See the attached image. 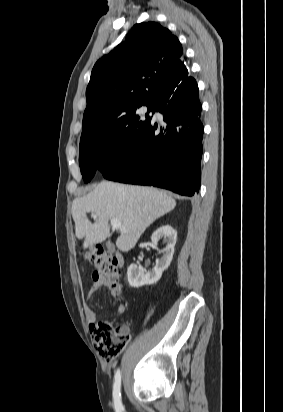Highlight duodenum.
I'll return each mask as SVG.
<instances>
[{"label":"duodenum","mask_w":283,"mask_h":412,"mask_svg":"<svg viewBox=\"0 0 283 412\" xmlns=\"http://www.w3.org/2000/svg\"><path fill=\"white\" fill-rule=\"evenodd\" d=\"M116 262H117L118 264H121V263H122V256H121L119 253L116 254Z\"/></svg>","instance_id":"obj_1"}]
</instances>
